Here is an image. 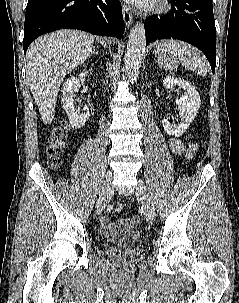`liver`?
Masks as SVG:
<instances>
[{"instance_id":"obj_1","label":"liver","mask_w":239,"mask_h":303,"mask_svg":"<svg viewBox=\"0 0 239 303\" xmlns=\"http://www.w3.org/2000/svg\"><path fill=\"white\" fill-rule=\"evenodd\" d=\"M94 38L84 31L63 29L29 46L27 81L44 124L52 123L58 89L65 76L89 57Z\"/></svg>"}]
</instances>
